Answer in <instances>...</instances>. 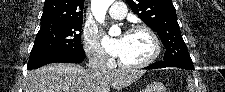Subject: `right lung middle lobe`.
Instances as JSON below:
<instances>
[{"mask_svg": "<svg viewBox=\"0 0 225 92\" xmlns=\"http://www.w3.org/2000/svg\"><path fill=\"white\" fill-rule=\"evenodd\" d=\"M83 22L43 23L36 35L30 57L60 50H81Z\"/></svg>", "mask_w": 225, "mask_h": 92, "instance_id": "obj_1", "label": "right lung middle lobe"}]
</instances>
